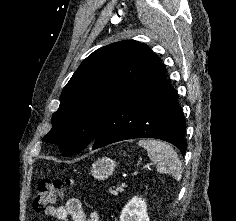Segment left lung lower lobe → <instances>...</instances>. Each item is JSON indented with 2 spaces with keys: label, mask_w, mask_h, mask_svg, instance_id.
Masks as SVG:
<instances>
[{
  "label": "left lung lower lobe",
  "mask_w": 236,
  "mask_h": 221,
  "mask_svg": "<svg viewBox=\"0 0 236 221\" xmlns=\"http://www.w3.org/2000/svg\"><path fill=\"white\" fill-rule=\"evenodd\" d=\"M186 123L177 91L159 63L109 115L92 149L134 138H157L175 145L184 155Z\"/></svg>",
  "instance_id": "0a47b994"
}]
</instances>
